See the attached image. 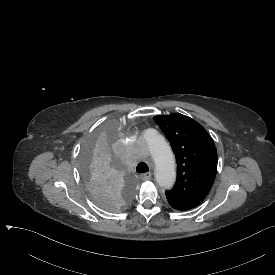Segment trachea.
<instances>
[{"mask_svg":"<svg viewBox=\"0 0 275 275\" xmlns=\"http://www.w3.org/2000/svg\"><path fill=\"white\" fill-rule=\"evenodd\" d=\"M136 171H137L138 173H146V172L149 171V168H148V166H147L146 163L140 162V163L137 165V167H136Z\"/></svg>","mask_w":275,"mask_h":275,"instance_id":"1","label":"trachea"}]
</instances>
